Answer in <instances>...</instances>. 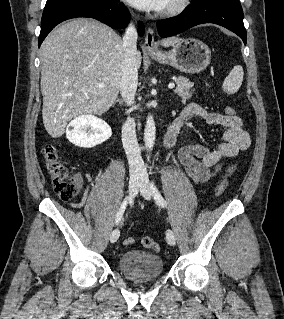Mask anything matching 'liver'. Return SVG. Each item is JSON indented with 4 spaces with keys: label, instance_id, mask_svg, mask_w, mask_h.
I'll return each instance as SVG.
<instances>
[{
    "label": "liver",
    "instance_id": "liver-1",
    "mask_svg": "<svg viewBox=\"0 0 284 319\" xmlns=\"http://www.w3.org/2000/svg\"><path fill=\"white\" fill-rule=\"evenodd\" d=\"M163 39L162 46L179 42ZM121 37L93 19H74L55 28L41 45L42 118L48 134L61 137L67 123L84 114L101 115L116 101L124 49ZM141 52L136 66L140 68ZM104 83V88L98 85Z\"/></svg>",
    "mask_w": 284,
    "mask_h": 319
}]
</instances>
